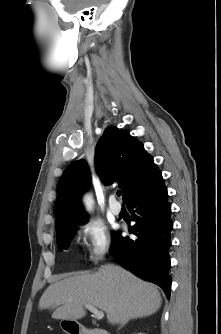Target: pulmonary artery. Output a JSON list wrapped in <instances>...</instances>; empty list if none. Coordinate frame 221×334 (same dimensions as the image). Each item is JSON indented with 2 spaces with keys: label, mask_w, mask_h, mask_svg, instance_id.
<instances>
[{
  "label": "pulmonary artery",
  "mask_w": 221,
  "mask_h": 334,
  "mask_svg": "<svg viewBox=\"0 0 221 334\" xmlns=\"http://www.w3.org/2000/svg\"><path fill=\"white\" fill-rule=\"evenodd\" d=\"M109 208L114 215H119L121 213V205L117 202L114 196L109 199Z\"/></svg>",
  "instance_id": "1"
}]
</instances>
